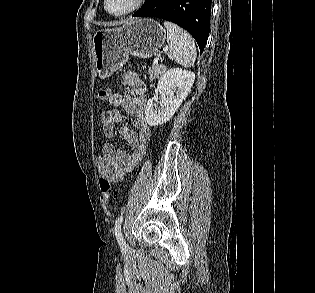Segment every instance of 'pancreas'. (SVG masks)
<instances>
[{"label": "pancreas", "instance_id": "obj_1", "mask_svg": "<svg viewBox=\"0 0 315 293\" xmlns=\"http://www.w3.org/2000/svg\"><path fill=\"white\" fill-rule=\"evenodd\" d=\"M166 71V66L164 65H153L149 68L148 74L150 76V80L158 78L160 74H163Z\"/></svg>", "mask_w": 315, "mask_h": 293}]
</instances>
